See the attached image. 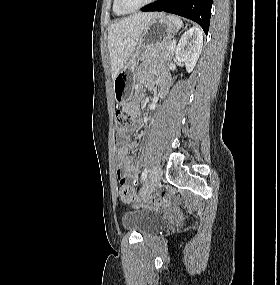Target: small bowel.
Masks as SVG:
<instances>
[{
  "mask_svg": "<svg viewBox=\"0 0 280 285\" xmlns=\"http://www.w3.org/2000/svg\"><path fill=\"white\" fill-rule=\"evenodd\" d=\"M143 81L151 84V81H148L146 77L143 78ZM170 78L168 74H161L158 77V86L160 89V94H165L169 86ZM124 110L131 113L132 115L138 114V102L133 101L124 106ZM119 148L117 150L118 155V167H117V176L120 182H125L131 180L134 185L138 183L139 179V169L134 163L130 152L136 148V142L130 141L126 134L119 136L118 139Z\"/></svg>",
  "mask_w": 280,
  "mask_h": 285,
  "instance_id": "obj_1",
  "label": "small bowel"
}]
</instances>
